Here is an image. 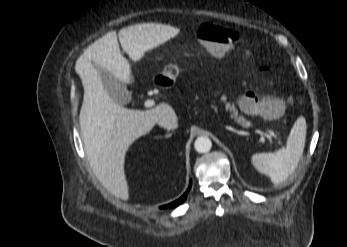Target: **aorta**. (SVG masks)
Returning <instances> with one entry per match:
<instances>
[{
    "label": "aorta",
    "mask_w": 347,
    "mask_h": 247,
    "mask_svg": "<svg viewBox=\"0 0 347 247\" xmlns=\"http://www.w3.org/2000/svg\"><path fill=\"white\" fill-rule=\"evenodd\" d=\"M194 147L198 153H207L212 147V142L208 137L201 136L196 139Z\"/></svg>",
    "instance_id": "762f6f07"
}]
</instances>
